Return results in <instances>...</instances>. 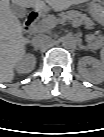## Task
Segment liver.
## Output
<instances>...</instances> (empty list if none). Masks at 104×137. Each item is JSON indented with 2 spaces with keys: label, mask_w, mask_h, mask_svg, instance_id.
Masks as SVG:
<instances>
[{
  "label": "liver",
  "mask_w": 104,
  "mask_h": 137,
  "mask_svg": "<svg viewBox=\"0 0 104 137\" xmlns=\"http://www.w3.org/2000/svg\"><path fill=\"white\" fill-rule=\"evenodd\" d=\"M55 11L68 9L72 5L88 0H45ZM15 5L33 8L38 12L46 5L41 0H12ZM22 26L19 19L9 7V2L1 0L0 8V81L11 82L15 76L14 68L25 54L28 40L22 36Z\"/></svg>",
  "instance_id": "obj_1"
}]
</instances>
